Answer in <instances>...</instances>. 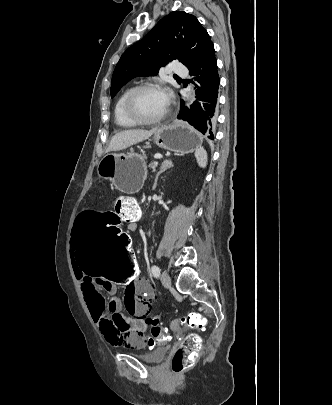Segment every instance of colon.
<instances>
[{
	"instance_id": "obj_1",
	"label": "colon",
	"mask_w": 332,
	"mask_h": 405,
	"mask_svg": "<svg viewBox=\"0 0 332 405\" xmlns=\"http://www.w3.org/2000/svg\"><path fill=\"white\" fill-rule=\"evenodd\" d=\"M115 209L117 220H113V211H82V220H74L75 258L83 268V275H99L100 281H113L115 287H131L132 281L139 280V266L133 259L134 235L121 227V221L136 212L138 205L131 197L120 195ZM164 317V310H152L151 315L145 317V324L151 326V331L139 334V338L147 340L141 344L143 351L154 350L169 340V327L163 325ZM179 322L185 328L204 329L210 323V316L190 313L182 316ZM200 345L201 338L197 334L186 336L173 352V371L180 373L189 368Z\"/></svg>"
}]
</instances>
